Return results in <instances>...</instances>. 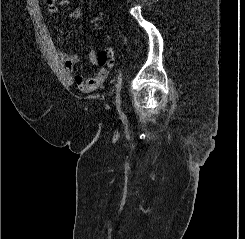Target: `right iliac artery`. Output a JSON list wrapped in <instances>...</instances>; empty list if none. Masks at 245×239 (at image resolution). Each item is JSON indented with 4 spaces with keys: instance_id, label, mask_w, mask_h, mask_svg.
<instances>
[{
    "instance_id": "1",
    "label": "right iliac artery",
    "mask_w": 245,
    "mask_h": 239,
    "mask_svg": "<svg viewBox=\"0 0 245 239\" xmlns=\"http://www.w3.org/2000/svg\"><path fill=\"white\" fill-rule=\"evenodd\" d=\"M121 83H122V79H121V71H120L118 75V81L116 84V97H115L116 98L115 104L118 111H120V107H121Z\"/></svg>"
}]
</instances>
